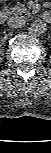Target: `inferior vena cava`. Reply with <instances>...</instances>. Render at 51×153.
<instances>
[{
    "label": "inferior vena cava",
    "mask_w": 51,
    "mask_h": 153,
    "mask_svg": "<svg viewBox=\"0 0 51 153\" xmlns=\"http://www.w3.org/2000/svg\"><path fill=\"white\" fill-rule=\"evenodd\" d=\"M27 19L24 16H12L8 19V25L11 28H22L25 26Z\"/></svg>",
    "instance_id": "inferior-vena-cava-1"
}]
</instances>
